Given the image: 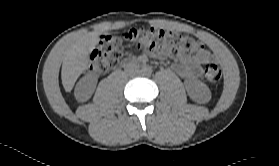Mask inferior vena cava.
<instances>
[{
  "label": "inferior vena cava",
  "mask_w": 279,
  "mask_h": 166,
  "mask_svg": "<svg viewBox=\"0 0 279 166\" xmlns=\"http://www.w3.org/2000/svg\"><path fill=\"white\" fill-rule=\"evenodd\" d=\"M137 73H138V70L130 71V74H132V75H136Z\"/></svg>",
  "instance_id": "1"
}]
</instances>
